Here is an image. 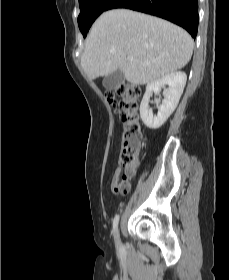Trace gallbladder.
<instances>
[{
    "label": "gallbladder",
    "mask_w": 229,
    "mask_h": 280,
    "mask_svg": "<svg viewBox=\"0 0 229 280\" xmlns=\"http://www.w3.org/2000/svg\"><path fill=\"white\" fill-rule=\"evenodd\" d=\"M125 77L121 70H117L103 79V86L108 90L118 89L124 82Z\"/></svg>",
    "instance_id": "1"
}]
</instances>
